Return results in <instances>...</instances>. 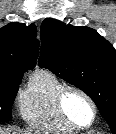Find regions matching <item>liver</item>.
I'll use <instances>...</instances> for the list:
<instances>
[{"mask_svg": "<svg viewBox=\"0 0 116 134\" xmlns=\"http://www.w3.org/2000/svg\"><path fill=\"white\" fill-rule=\"evenodd\" d=\"M0 134H35L32 131H17V130H2L0 129Z\"/></svg>", "mask_w": 116, "mask_h": 134, "instance_id": "liver-1", "label": "liver"}]
</instances>
